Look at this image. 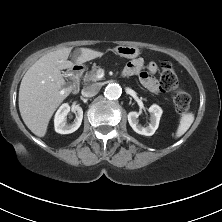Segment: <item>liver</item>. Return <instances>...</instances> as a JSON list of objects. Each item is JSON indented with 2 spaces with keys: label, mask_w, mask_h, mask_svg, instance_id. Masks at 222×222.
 Wrapping results in <instances>:
<instances>
[{
  "label": "liver",
  "mask_w": 222,
  "mask_h": 222,
  "mask_svg": "<svg viewBox=\"0 0 222 222\" xmlns=\"http://www.w3.org/2000/svg\"><path fill=\"white\" fill-rule=\"evenodd\" d=\"M71 48L49 52L38 59L25 73L19 88V110L25 125L38 137H44L57 107L72 92L65 88L61 70L72 68L68 60ZM102 52L80 48L75 52L76 64L101 57Z\"/></svg>",
  "instance_id": "1"
}]
</instances>
